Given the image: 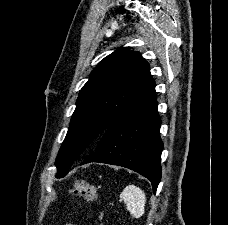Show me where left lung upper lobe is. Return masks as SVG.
<instances>
[{"label":"left lung upper lobe","instance_id":"obj_1","mask_svg":"<svg viewBox=\"0 0 228 225\" xmlns=\"http://www.w3.org/2000/svg\"><path fill=\"white\" fill-rule=\"evenodd\" d=\"M155 86L149 64L130 47L105 57L81 89L69 130L55 165L64 177L74 161L89 154L106 129L140 102Z\"/></svg>","mask_w":228,"mask_h":225}]
</instances>
